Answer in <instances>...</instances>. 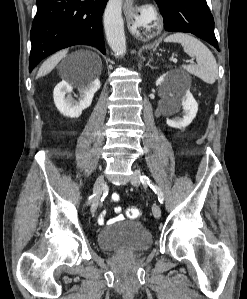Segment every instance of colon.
<instances>
[{
	"mask_svg": "<svg viewBox=\"0 0 247 299\" xmlns=\"http://www.w3.org/2000/svg\"><path fill=\"white\" fill-rule=\"evenodd\" d=\"M126 215L131 219H136L140 217L141 212L138 208L130 207L126 210Z\"/></svg>",
	"mask_w": 247,
	"mask_h": 299,
	"instance_id": "1",
	"label": "colon"
}]
</instances>
